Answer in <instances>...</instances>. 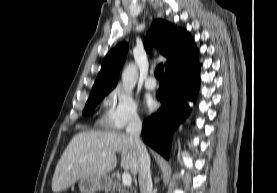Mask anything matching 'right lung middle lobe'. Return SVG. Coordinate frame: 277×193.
<instances>
[{"label":"right lung middle lobe","instance_id":"dd1d6c3e","mask_svg":"<svg viewBox=\"0 0 277 193\" xmlns=\"http://www.w3.org/2000/svg\"><path fill=\"white\" fill-rule=\"evenodd\" d=\"M109 93V91L97 92L90 94V97L85 105V109L83 111L84 115L91 113V111L95 108V106Z\"/></svg>","mask_w":277,"mask_h":193}]
</instances>
